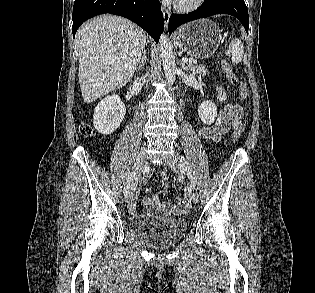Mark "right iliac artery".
Returning <instances> with one entry per match:
<instances>
[{"mask_svg": "<svg viewBox=\"0 0 315 293\" xmlns=\"http://www.w3.org/2000/svg\"><path fill=\"white\" fill-rule=\"evenodd\" d=\"M135 175H136V172H135V171H132V172L128 175V177H127V179H126L125 186H124V190H123V192H124L125 195L129 192L130 183H131V181L135 178Z\"/></svg>", "mask_w": 315, "mask_h": 293, "instance_id": "82829eb1", "label": "right iliac artery"}]
</instances>
